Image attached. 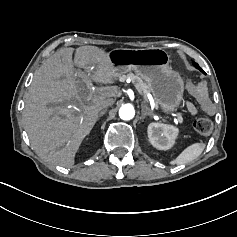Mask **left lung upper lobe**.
Here are the masks:
<instances>
[{"instance_id":"obj_1","label":"left lung upper lobe","mask_w":237,"mask_h":237,"mask_svg":"<svg viewBox=\"0 0 237 237\" xmlns=\"http://www.w3.org/2000/svg\"><path fill=\"white\" fill-rule=\"evenodd\" d=\"M193 65L205 74V72L200 68V66L197 63L193 62Z\"/></svg>"}]
</instances>
